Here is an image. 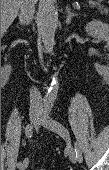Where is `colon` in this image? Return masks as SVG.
Returning <instances> with one entry per match:
<instances>
[{
	"label": "colon",
	"mask_w": 109,
	"mask_h": 170,
	"mask_svg": "<svg viewBox=\"0 0 109 170\" xmlns=\"http://www.w3.org/2000/svg\"><path fill=\"white\" fill-rule=\"evenodd\" d=\"M35 170H46V169L37 167V168H35Z\"/></svg>",
	"instance_id": "5ec220e1"
}]
</instances>
